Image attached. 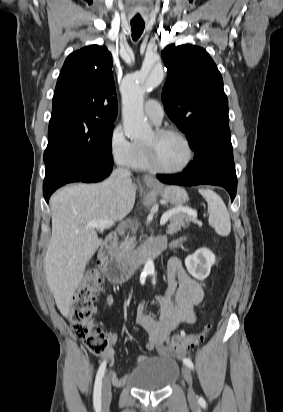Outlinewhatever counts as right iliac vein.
<instances>
[{
	"label": "right iliac vein",
	"instance_id": "right-iliac-vein-1",
	"mask_svg": "<svg viewBox=\"0 0 283 412\" xmlns=\"http://www.w3.org/2000/svg\"><path fill=\"white\" fill-rule=\"evenodd\" d=\"M111 398H112L111 379H110V376L107 375L103 380V386H102V405L104 409H106L110 405Z\"/></svg>",
	"mask_w": 283,
	"mask_h": 412
}]
</instances>
